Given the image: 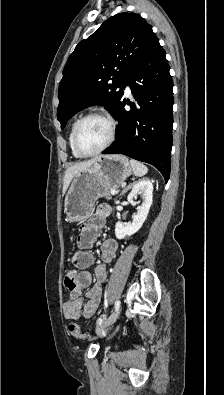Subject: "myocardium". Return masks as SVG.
Here are the masks:
<instances>
[{"label": "myocardium", "mask_w": 224, "mask_h": 395, "mask_svg": "<svg viewBox=\"0 0 224 395\" xmlns=\"http://www.w3.org/2000/svg\"><path fill=\"white\" fill-rule=\"evenodd\" d=\"M93 117L101 118L104 121H106L109 125L110 133H109V137H108L107 141L99 149H97L94 152L85 153V152L81 151V149L79 148L78 134H79V130H80L82 123L84 121H86L87 119L93 118ZM116 133H117V122L109 113H107L103 110L90 111V112L86 113L85 115H83L76 122L74 132H73V148L79 157L86 158V157H92V156L98 155L101 152H103L104 150H106L114 142V140L116 138Z\"/></svg>", "instance_id": "obj_1"}]
</instances>
